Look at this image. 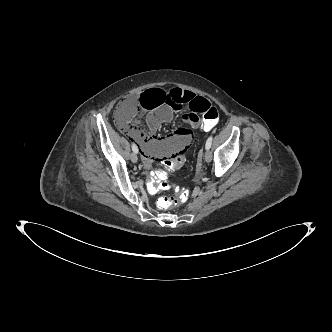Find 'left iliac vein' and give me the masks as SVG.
<instances>
[{
  "label": "left iliac vein",
  "mask_w": 332,
  "mask_h": 332,
  "mask_svg": "<svg viewBox=\"0 0 332 332\" xmlns=\"http://www.w3.org/2000/svg\"><path fill=\"white\" fill-rule=\"evenodd\" d=\"M204 160L206 162H210L212 160V154H211V152L209 150L205 151Z\"/></svg>",
  "instance_id": "4c4485c4"
}]
</instances>
